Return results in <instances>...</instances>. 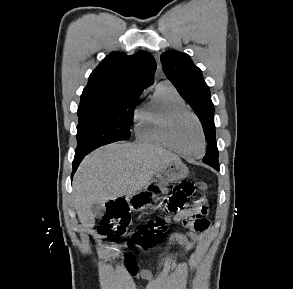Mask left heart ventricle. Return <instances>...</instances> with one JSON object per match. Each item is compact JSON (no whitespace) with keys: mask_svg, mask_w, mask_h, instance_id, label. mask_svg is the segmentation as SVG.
<instances>
[{"mask_svg":"<svg viewBox=\"0 0 293 289\" xmlns=\"http://www.w3.org/2000/svg\"><path fill=\"white\" fill-rule=\"evenodd\" d=\"M174 138L177 146L184 153L198 155L202 147V139L195 120L189 115L177 119L174 127Z\"/></svg>","mask_w":293,"mask_h":289,"instance_id":"b2bd125f","label":"left heart ventricle"}]
</instances>
